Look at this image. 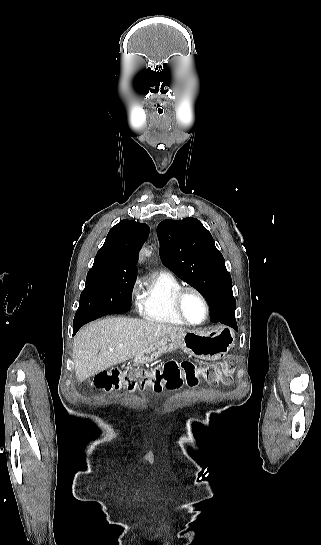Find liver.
Listing matches in <instances>:
<instances>
[{
	"label": "liver",
	"mask_w": 321,
	"mask_h": 545,
	"mask_svg": "<svg viewBox=\"0 0 321 545\" xmlns=\"http://www.w3.org/2000/svg\"><path fill=\"white\" fill-rule=\"evenodd\" d=\"M177 331L184 333L181 327L168 323L126 317H109L90 323L82 327L74 339L75 375L78 381H86L91 375L133 359L161 337Z\"/></svg>",
	"instance_id": "obj_1"
}]
</instances>
